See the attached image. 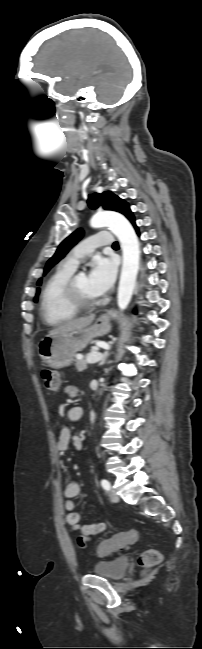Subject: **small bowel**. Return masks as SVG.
<instances>
[{
	"label": "small bowel",
	"instance_id": "c3829d8e",
	"mask_svg": "<svg viewBox=\"0 0 202 649\" xmlns=\"http://www.w3.org/2000/svg\"><path fill=\"white\" fill-rule=\"evenodd\" d=\"M64 393L68 397H76L78 394V389L75 385L69 384L64 388ZM83 414V410L80 406H72L68 410V418L71 422H78ZM73 442L74 447L77 450H81L83 447L82 440L79 436H72L71 431L68 427H64L57 438L56 448L58 451H65L70 442ZM81 487L77 481H70L64 487V496L66 498V522L70 526L72 531L80 532V536L77 539L78 545L80 548L84 549L85 545L91 538L106 529V524L100 520H94L93 522H84L81 519L79 513L74 511L73 499L77 497L80 493Z\"/></svg>",
	"mask_w": 202,
	"mask_h": 649
}]
</instances>
